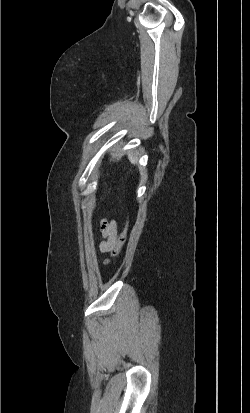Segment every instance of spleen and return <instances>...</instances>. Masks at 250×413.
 <instances>
[{
  "mask_svg": "<svg viewBox=\"0 0 250 413\" xmlns=\"http://www.w3.org/2000/svg\"><path fill=\"white\" fill-rule=\"evenodd\" d=\"M128 158L132 164H135L137 159L132 155V153L128 154Z\"/></svg>",
  "mask_w": 250,
  "mask_h": 413,
  "instance_id": "3e777b00",
  "label": "spleen"
}]
</instances>
